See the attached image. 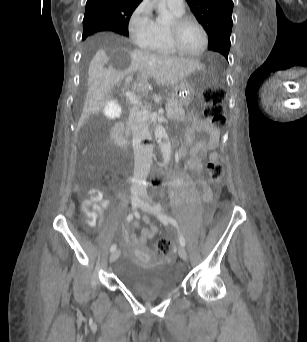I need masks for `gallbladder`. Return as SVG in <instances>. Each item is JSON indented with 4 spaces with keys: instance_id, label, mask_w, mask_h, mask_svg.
Masks as SVG:
<instances>
[{
    "instance_id": "1",
    "label": "gallbladder",
    "mask_w": 307,
    "mask_h": 342,
    "mask_svg": "<svg viewBox=\"0 0 307 342\" xmlns=\"http://www.w3.org/2000/svg\"><path fill=\"white\" fill-rule=\"evenodd\" d=\"M108 118H119L120 111L122 109L121 103H115L113 99H110L105 105Z\"/></svg>"
}]
</instances>
